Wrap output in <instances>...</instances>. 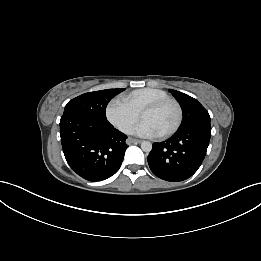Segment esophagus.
Returning a JSON list of instances; mask_svg holds the SVG:
<instances>
[{"label": "esophagus", "mask_w": 261, "mask_h": 261, "mask_svg": "<svg viewBox=\"0 0 261 261\" xmlns=\"http://www.w3.org/2000/svg\"><path fill=\"white\" fill-rule=\"evenodd\" d=\"M141 142H142L141 140L134 139V138H128L127 139L128 144H138V143H141Z\"/></svg>", "instance_id": "1"}]
</instances>
